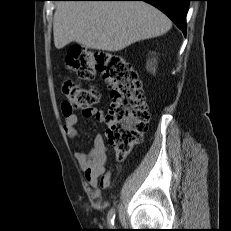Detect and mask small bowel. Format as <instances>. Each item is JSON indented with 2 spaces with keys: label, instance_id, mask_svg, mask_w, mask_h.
Here are the masks:
<instances>
[{
  "label": "small bowel",
  "instance_id": "obj_1",
  "mask_svg": "<svg viewBox=\"0 0 231 231\" xmlns=\"http://www.w3.org/2000/svg\"><path fill=\"white\" fill-rule=\"evenodd\" d=\"M85 117L94 116L98 121H104L105 115L101 110L83 111ZM78 116L75 113L65 114L64 131L74 139L79 138L77 130ZM75 158L84 172V176L88 184L96 193L100 188H108L112 182V174L107 171V147L102 135L94 138L93 147L89 151H78Z\"/></svg>",
  "mask_w": 231,
  "mask_h": 231
}]
</instances>
